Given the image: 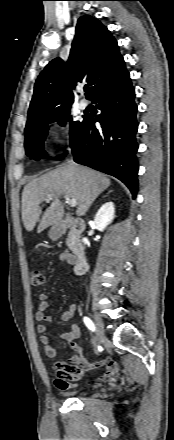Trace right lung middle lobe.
<instances>
[{"label": "right lung middle lobe", "instance_id": "obj_1", "mask_svg": "<svg viewBox=\"0 0 174 440\" xmlns=\"http://www.w3.org/2000/svg\"><path fill=\"white\" fill-rule=\"evenodd\" d=\"M70 113V109L58 114L57 116L41 122L28 130H25V150L26 154L35 160H39L40 158H44L46 153L44 151V140L48 131V124L54 121H58L60 125H65V121L71 120V116H68ZM82 127V122L80 121H71L70 122V143L74 141L76 136L79 134L80 129ZM66 155L63 154L59 157V159H63Z\"/></svg>", "mask_w": 174, "mask_h": 440}]
</instances>
